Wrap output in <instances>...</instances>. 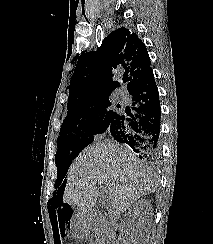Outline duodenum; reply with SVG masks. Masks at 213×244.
Masks as SVG:
<instances>
[{
    "label": "duodenum",
    "mask_w": 213,
    "mask_h": 244,
    "mask_svg": "<svg viewBox=\"0 0 213 244\" xmlns=\"http://www.w3.org/2000/svg\"><path fill=\"white\" fill-rule=\"evenodd\" d=\"M97 216L96 213H92L91 215H86V221L87 222H91L93 217ZM116 239V235H113L111 237H109L108 241H106L105 244H112L114 242V240Z\"/></svg>",
    "instance_id": "obj_1"
}]
</instances>
